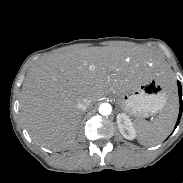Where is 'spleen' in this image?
Returning <instances> with one entry per match:
<instances>
[{
	"label": "spleen",
	"instance_id": "spleen-1",
	"mask_svg": "<svg viewBox=\"0 0 183 183\" xmlns=\"http://www.w3.org/2000/svg\"><path fill=\"white\" fill-rule=\"evenodd\" d=\"M178 115V102L171 99L153 123L136 121L138 141L145 146H153L164 141L172 132Z\"/></svg>",
	"mask_w": 183,
	"mask_h": 183
}]
</instances>
